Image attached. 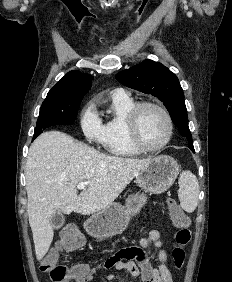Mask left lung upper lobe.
Returning <instances> with one entry per match:
<instances>
[{"label": "left lung upper lobe", "mask_w": 232, "mask_h": 282, "mask_svg": "<svg viewBox=\"0 0 232 282\" xmlns=\"http://www.w3.org/2000/svg\"><path fill=\"white\" fill-rule=\"evenodd\" d=\"M116 79L129 88L151 94L162 101L181 135L189 139V147L193 146L183 89L174 73L160 63L145 60L119 72Z\"/></svg>", "instance_id": "5c2ea615"}]
</instances>
